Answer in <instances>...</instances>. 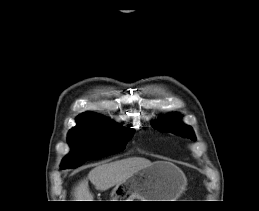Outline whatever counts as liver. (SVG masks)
Listing matches in <instances>:
<instances>
[{
  "mask_svg": "<svg viewBox=\"0 0 259 211\" xmlns=\"http://www.w3.org/2000/svg\"><path fill=\"white\" fill-rule=\"evenodd\" d=\"M150 160L141 157H131L115 162L105 163L93 168L86 179L81 180L74 188L75 201H93L88 180L97 190L104 191L124 182L135 172L150 166Z\"/></svg>",
  "mask_w": 259,
  "mask_h": 211,
  "instance_id": "1",
  "label": "liver"
}]
</instances>
